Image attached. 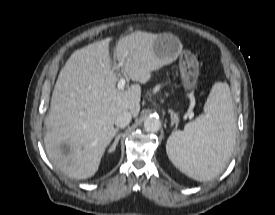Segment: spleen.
I'll return each mask as SVG.
<instances>
[{"label": "spleen", "instance_id": "spleen-1", "mask_svg": "<svg viewBox=\"0 0 275 215\" xmlns=\"http://www.w3.org/2000/svg\"><path fill=\"white\" fill-rule=\"evenodd\" d=\"M236 141V119L227 83L213 85L204 114L171 134L166 144L169 159L182 173L209 181L225 168Z\"/></svg>", "mask_w": 275, "mask_h": 215}]
</instances>
